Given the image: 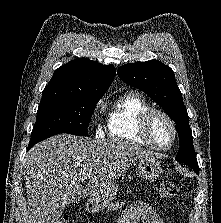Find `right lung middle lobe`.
<instances>
[{"instance_id":"right-lung-middle-lobe-1","label":"right lung middle lobe","mask_w":221,"mask_h":223,"mask_svg":"<svg viewBox=\"0 0 221 223\" xmlns=\"http://www.w3.org/2000/svg\"><path fill=\"white\" fill-rule=\"evenodd\" d=\"M100 98H72L40 102L29 145L59 133L88 135V125Z\"/></svg>"}]
</instances>
